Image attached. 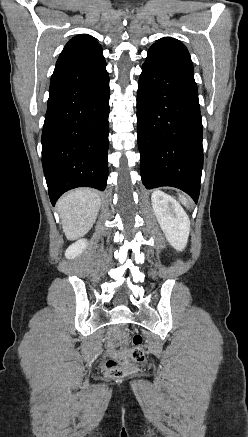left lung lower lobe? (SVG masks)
<instances>
[{"label": "left lung lower lobe", "instance_id": "obj_1", "mask_svg": "<svg viewBox=\"0 0 248 437\" xmlns=\"http://www.w3.org/2000/svg\"><path fill=\"white\" fill-rule=\"evenodd\" d=\"M137 127L144 186H173L197 203L203 130L193 75L144 63L138 83Z\"/></svg>", "mask_w": 248, "mask_h": 437}]
</instances>
